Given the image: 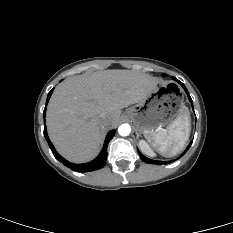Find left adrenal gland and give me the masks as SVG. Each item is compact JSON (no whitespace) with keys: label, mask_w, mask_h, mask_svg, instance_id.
Wrapping results in <instances>:
<instances>
[{"label":"left adrenal gland","mask_w":233,"mask_h":233,"mask_svg":"<svg viewBox=\"0 0 233 233\" xmlns=\"http://www.w3.org/2000/svg\"><path fill=\"white\" fill-rule=\"evenodd\" d=\"M139 136H140V134H139V133H137V138H139Z\"/></svg>","instance_id":"obj_1"}]
</instances>
